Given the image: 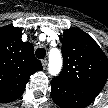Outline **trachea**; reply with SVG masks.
I'll use <instances>...</instances> for the list:
<instances>
[{
	"label": "trachea",
	"instance_id": "trachea-1",
	"mask_svg": "<svg viewBox=\"0 0 108 108\" xmlns=\"http://www.w3.org/2000/svg\"><path fill=\"white\" fill-rule=\"evenodd\" d=\"M35 54L38 59H43L46 55V50L44 48H38Z\"/></svg>",
	"mask_w": 108,
	"mask_h": 108
}]
</instances>
